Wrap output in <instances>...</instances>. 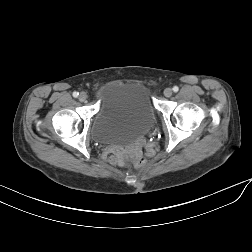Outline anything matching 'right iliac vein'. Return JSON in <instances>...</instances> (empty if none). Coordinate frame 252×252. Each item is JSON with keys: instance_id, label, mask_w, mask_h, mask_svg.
I'll list each match as a JSON object with an SVG mask.
<instances>
[{"instance_id": "obj_1", "label": "right iliac vein", "mask_w": 252, "mask_h": 252, "mask_svg": "<svg viewBox=\"0 0 252 252\" xmlns=\"http://www.w3.org/2000/svg\"><path fill=\"white\" fill-rule=\"evenodd\" d=\"M87 99H88V95L85 92H81L80 95H79V100L81 102H86Z\"/></svg>"}]
</instances>
